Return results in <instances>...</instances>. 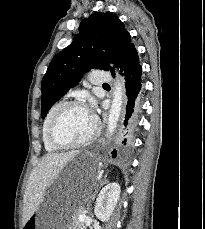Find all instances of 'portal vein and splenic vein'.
Instances as JSON below:
<instances>
[{
  "label": "portal vein and splenic vein",
  "instance_id": "1",
  "mask_svg": "<svg viewBox=\"0 0 205 229\" xmlns=\"http://www.w3.org/2000/svg\"><path fill=\"white\" fill-rule=\"evenodd\" d=\"M83 218H84V216H80V217H79V220H82Z\"/></svg>",
  "mask_w": 205,
  "mask_h": 229
}]
</instances>
